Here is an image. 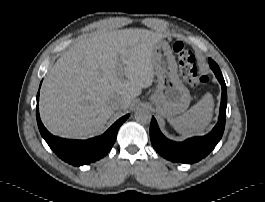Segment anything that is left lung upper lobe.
<instances>
[{
	"instance_id": "obj_1",
	"label": "left lung upper lobe",
	"mask_w": 265,
	"mask_h": 202,
	"mask_svg": "<svg viewBox=\"0 0 265 202\" xmlns=\"http://www.w3.org/2000/svg\"><path fill=\"white\" fill-rule=\"evenodd\" d=\"M213 61V60H212ZM213 64L216 65V63L213 61Z\"/></svg>"
}]
</instances>
